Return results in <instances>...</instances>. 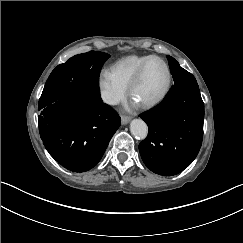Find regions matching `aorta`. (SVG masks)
<instances>
[{"label": "aorta", "mask_w": 243, "mask_h": 243, "mask_svg": "<svg viewBox=\"0 0 243 243\" xmlns=\"http://www.w3.org/2000/svg\"><path fill=\"white\" fill-rule=\"evenodd\" d=\"M130 131L137 140H145L148 136V126L142 120H134L131 122Z\"/></svg>", "instance_id": "1"}]
</instances>
